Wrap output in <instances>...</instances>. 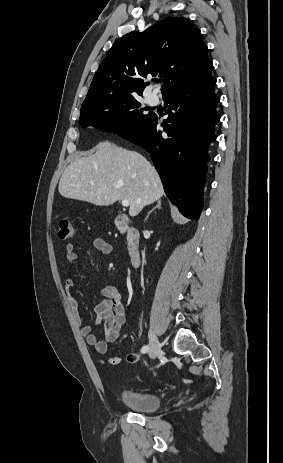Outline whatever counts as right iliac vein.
<instances>
[{
    "mask_svg": "<svg viewBox=\"0 0 283 463\" xmlns=\"http://www.w3.org/2000/svg\"><path fill=\"white\" fill-rule=\"evenodd\" d=\"M161 351V346L159 340L153 330L150 331L149 336V356L151 359H154L159 355Z\"/></svg>",
    "mask_w": 283,
    "mask_h": 463,
    "instance_id": "right-iliac-vein-1",
    "label": "right iliac vein"
}]
</instances>
